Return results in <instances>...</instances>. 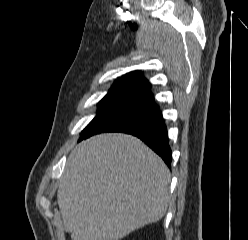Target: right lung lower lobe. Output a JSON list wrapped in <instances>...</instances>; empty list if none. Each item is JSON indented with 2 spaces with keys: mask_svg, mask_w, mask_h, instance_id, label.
Wrapping results in <instances>:
<instances>
[{
  "mask_svg": "<svg viewBox=\"0 0 248 240\" xmlns=\"http://www.w3.org/2000/svg\"><path fill=\"white\" fill-rule=\"evenodd\" d=\"M103 132H122L140 138L170 167L172 152L167 129L153 98L136 102L106 117L81 139Z\"/></svg>",
  "mask_w": 248,
  "mask_h": 240,
  "instance_id": "right-lung-lower-lobe-1",
  "label": "right lung lower lobe"
}]
</instances>
